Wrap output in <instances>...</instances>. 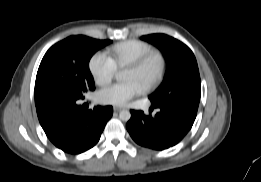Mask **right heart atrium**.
Returning a JSON list of instances; mask_svg holds the SVG:
<instances>
[{
  "instance_id": "obj_1",
  "label": "right heart atrium",
  "mask_w": 261,
  "mask_h": 182,
  "mask_svg": "<svg viewBox=\"0 0 261 182\" xmlns=\"http://www.w3.org/2000/svg\"><path fill=\"white\" fill-rule=\"evenodd\" d=\"M89 72L98 86L109 84L116 73V68L104 52L95 53L89 60Z\"/></svg>"
}]
</instances>
